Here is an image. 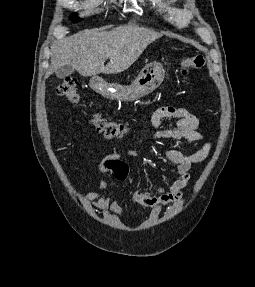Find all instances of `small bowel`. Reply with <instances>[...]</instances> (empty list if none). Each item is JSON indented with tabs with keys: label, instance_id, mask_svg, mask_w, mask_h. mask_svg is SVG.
<instances>
[{
	"label": "small bowel",
	"instance_id": "c3829d8e",
	"mask_svg": "<svg viewBox=\"0 0 255 287\" xmlns=\"http://www.w3.org/2000/svg\"><path fill=\"white\" fill-rule=\"evenodd\" d=\"M176 119V126L169 129H161V123L165 119ZM151 125L157 129L153 136V140L186 139L189 142H202L199 150L185 154L175 149H163L160 153L166 157L171 163L176 165V173L178 177L168 186H159L148 191H137L132 195L133 202L145 207L151 208L150 218H157L164 206H170L177 202L182 192L188 184L191 167L203 162L209 155L211 145L203 135L199 132L198 118L184 108L175 106H164L154 111L151 116ZM127 156H136V152L127 151ZM120 153L105 157L99 165L101 174L109 173L119 181H124L128 177V165L121 159ZM99 185L103 190H107V183L104 180L99 181ZM81 196L85 203L92 210H96L103 214L110 212L121 215L123 210L118 201L104 196L98 192L83 191Z\"/></svg>",
	"mask_w": 255,
	"mask_h": 287
}]
</instances>
